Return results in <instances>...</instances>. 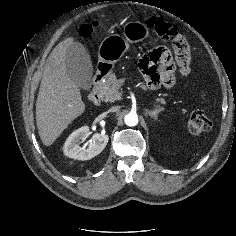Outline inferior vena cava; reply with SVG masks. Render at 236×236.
<instances>
[{
	"label": "inferior vena cava",
	"mask_w": 236,
	"mask_h": 236,
	"mask_svg": "<svg viewBox=\"0 0 236 236\" xmlns=\"http://www.w3.org/2000/svg\"><path fill=\"white\" fill-rule=\"evenodd\" d=\"M120 107L119 106H114L112 108L109 109L110 112H117L119 111Z\"/></svg>",
	"instance_id": "1"
}]
</instances>
